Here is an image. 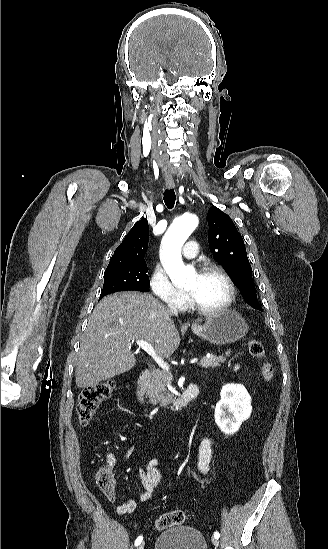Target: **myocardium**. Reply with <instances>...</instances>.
<instances>
[{"mask_svg": "<svg viewBox=\"0 0 328 549\" xmlns=\"http://www.w3.org/2000/svg\"><path fill=\"white\" fill-rule=\"evenodd\" d=\"M185 266L193 269L198 268L196 271L198 274H204L212 271L217 272L225 279L228 286L227 298L225 299L224 302H222L220 305L214 308L202 307L188 292L185 291L186 297L188 299L189 307L192 310H194L195 312H197L202 316H216L230 309V307L232 306L236 298L237 288L232 276L226 270V267L224 265L215 261L203 260V261H198L193 263H187Z\"/></svg>", "mask_w": 328, "mask_h": 549, "instance_id": "1", "label": "myocardium"}]
</instances>
